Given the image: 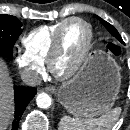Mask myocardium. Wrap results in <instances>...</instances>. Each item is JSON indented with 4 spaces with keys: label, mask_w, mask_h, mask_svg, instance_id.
I'll use <instances>...</instances> for the list:
<instances>
[{
    "label": "myocardium",
    "mask_w": 130,
    "mask_h": 130,
    "mask_svg": "<svg viewBox=\"0 0 130 130\" xmlns=\"http://www.w3.org/2000/svg\"><path fill=\"white\" fill-rule=\"evenodd\" d=\"M71 22H79L83 24L85 28L87 29L88 38H87L85 48L83 52L81 53V55L79 56V58L77 59V61L75 62V64L66 71H59L56 68V61L62 50V37H63L64 30ZM92 42H93V31H92L91 25L80 17L68 18L62 24V26L59 28V30L57 31L55 35V38H54V41H53V44H52V47H51V50L47 59L48 69L56 78H59L62 80L69 79L70 77L74 76L83 66L85 61L87 60L91 47H92Z\"/></svg>",
    "instance_id": "1"
}]
</instances>
